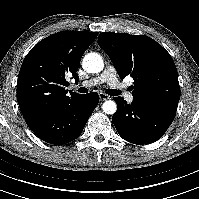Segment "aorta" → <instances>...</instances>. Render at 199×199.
<instances>
[{"instance_id": "obj_1", "label": "aorta", "mask_w": 199, "mask_h": 199, "mask_svg": "<svg viewBox=\"0 0 199 199\" xmlns=\"http://www.w3.org/2000/svg\"><path fill=\"white\" fill-rule=\"evenodd\" d=\"M83 69L88 73H99L104 68V62L102 57L97 53H88L83 58ZM102 109L106 114H114L117 109V105L113 100H107L103 103Z\"/></svg>"}]
</instances>
